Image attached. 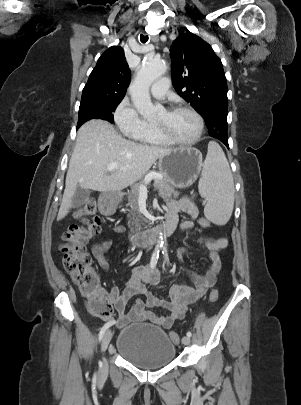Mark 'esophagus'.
<instances>
[{
  "label": "esophagus",
  "instance_id": "esophagus-1",
  "mask_svg": "<svg viewBox=\"0 0 301 405\" xmlns=\"http://www.w3.org/2000/svg\"><path fill=\"white\" fill-rule=\"evenodd\" d=\"M149 38H150L152 41H157V40H158V36H156V35L149 36Z\"/></svg>",
  "mask_w": 301,
  "mask_h": 405
}]
</instances>
